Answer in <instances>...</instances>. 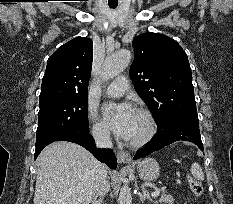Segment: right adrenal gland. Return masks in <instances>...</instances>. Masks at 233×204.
Here are the masks:
<instances>
[{"instance_id":"2a0ac1e0","label":"right adrenal gland","mask_w":233,"mask_h":204,"mask_svg":"<svg viewBox=\"0 0 233 204\" xmlns=\"http://www.w3.org/2000/svg\"><path fill=\"white\" fill-rule=\"evenodd\" d=\"M103 199H104L103 196H100V197L96 196V197L92 200L91 204H102Z\"/></svg>"}]
</instances>
